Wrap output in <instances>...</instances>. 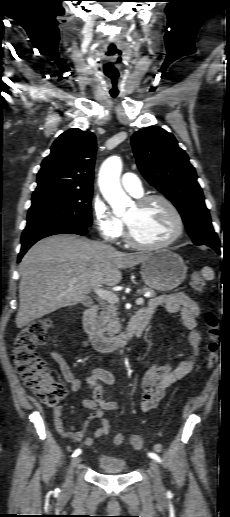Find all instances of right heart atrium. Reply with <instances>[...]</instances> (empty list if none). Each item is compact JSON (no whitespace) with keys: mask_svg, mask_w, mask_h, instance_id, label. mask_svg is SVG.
Listing matches in <instances>:
<instances>
[{"mask_svg":"<svg viewBox=\"0 0 230 517\" xmlns=\"http://www.w3.org/2000/svg\"><path fill=\"white\" fill-rule=\"evenodd\" d=\"M92 213L100 236L106 241H116L123 235V222L101 200L93 202Z\"/></svg>","mask_w":230,"mask_h":517,"instance_id":"d8ad5b80","label":"right heart atrium"}]
</instances>
